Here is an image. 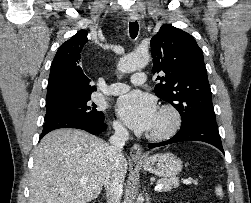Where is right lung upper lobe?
Returning <instances> with one entry per match:
<instances>
[{"label": "right lung upper lobe", "mask_w": 251, "mask_h": 203, "mask_svg": "<svg viewBox=\"0 0 251 203\" xmlns=\"http://www.w3.org/2000/svg\"><path fill=\"white\" fill-rule=\"evenodd\" d=\"M87 34L86 30H80L59 47L51 65L46 108L90 98L96 90L89 85L91 80L84 74L81 64Z\"/></svg>", "instance_id": "cb5924a9"}]
</instances>
